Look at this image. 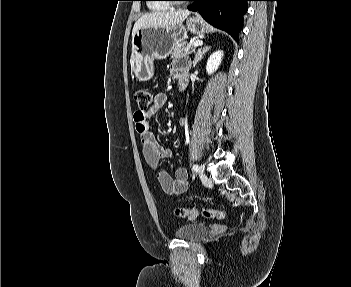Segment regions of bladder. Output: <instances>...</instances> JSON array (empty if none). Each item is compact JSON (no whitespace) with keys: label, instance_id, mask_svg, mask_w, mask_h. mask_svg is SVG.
Wrapping results in <instances>:
<instances>
[{"label":"bladder","instance_id":"bladder-1","mask_svg":"<svg viewBox=\"0 0 351 287\" xmlns=\"http://www.w3.org/2000/svg\"><path fill=\"white\" fill-rule=\"evenodd\" d=\"M207 233V227L201 223L190 222L181 225L175 231V235L185 240H198L205 236Z\"/></svg>","mask_w":351,"mask_h":287}]
</instances>
